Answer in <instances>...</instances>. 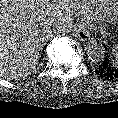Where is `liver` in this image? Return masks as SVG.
Instances as JSON below:
<instances>
[{
    "label": "liver",
    "instance_id": "6515ba94",
    "mask_svg": "<svg viewBox=\"0 0 118 118\" xmlns=\"http://www.w3.org/2000/svg\"><path fill=\"white\" fill-rule=\"evenodd\" d=\"M74 0H0V77L28 76L53 25L64 26Z\"/></svg>",
    "mask_w": 118,
    "mask_h": 118
}]
</instances>
